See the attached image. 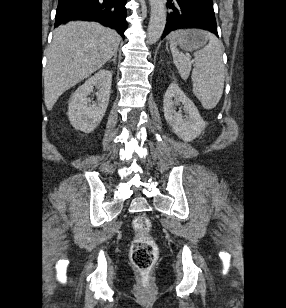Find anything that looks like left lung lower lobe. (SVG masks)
<instances>
[{
  "mask_svg": "<svg viewBox=\"0 0 286 308\" xmlns=\"http://www.w3.org/2000/svg\"><path fill=\"white\" fill-rule=\"evenodd\" d=\"M168 8L162 38L183 28H201L218 36L212 0H168Z\"/></svg>",
  "mask_w": 286,
  "mask_h": 308,
  "instance_id": "0a47b994",
  "label": "left lung lower lobe"
}]
</instances>
